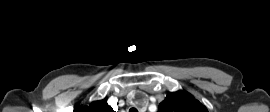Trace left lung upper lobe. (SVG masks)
Here are the masks:
<instances>
[{
  "label": "left lung upper lobe",
  "instance_id": "5c2ea615",
  "mask_svg": "<svg viewBox=\"0 0 270 112\" xmlns=\"http://www.w3.org/2000/svg\"><path fill=\"white\" fill-rule=\"evenodd\" d=\"M158 112H208L206 107L185 91L169 93Z\"/></svg>",
  "mask_w": 270,
  "mask_h": 112
}]
</instances>
